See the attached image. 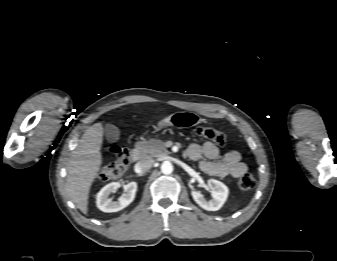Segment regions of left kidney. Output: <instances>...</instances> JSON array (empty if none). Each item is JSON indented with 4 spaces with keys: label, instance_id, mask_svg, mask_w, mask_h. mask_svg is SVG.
Listing matches in <instances>:
<instances>
[{
    "label": "left kidney",
    "instance_id": "obj_1",
    "mask_svg": "<svg viewBox=\"0 0 337 261\" xmlns=\"http://www.w3.org/2000/svg\"><path fill=\"white\" fill-rule=\"evenodd\" d=\"M208 187L211 190L212 199L206 200L204 196L198 191H192V197L194 201L203 209L208 211H217L227 200L229 193L228 187L215 179L208 180Z\"/></svg>",
    "mask_w": 337,
    "mask_h": 261
}]
</instances>
